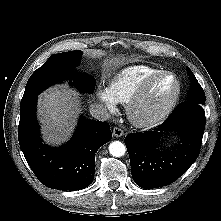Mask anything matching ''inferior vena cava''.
Masks as SVG:
<instances>
[{
	"mask_svg": "<svg viewBox=\"0 0 221 221\" xmlns=\"http://www.w3.org/2000/svg\"><path fill=\"white\" fill-rule=\"evenodd\" d=\"M90 114L92 117L100 121H106L110 118L108 110L102 104L91 105Z\"/></svg>",
	"mask_w": 221,
	"mask_h": 221,
	"instance_id": "obj_1",
	"label": "inferior vena cava"
}]
</instances>
